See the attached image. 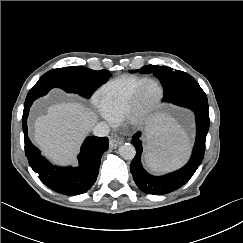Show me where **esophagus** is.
I'll list each match as a JSON object with an SVG mask.
<instances>
[{
    "instance_id": "34e87169",
    "label": "esophagus",
    "mask_w": 243,
    "mask_h": 243,
    "mask_svg": "<svg viewBox=\"0 0 243 243\" xmlns=\"http://www.w3.org/2000/svg\"><path fill=\"white\" fill-rule=\"evenodd\" d=\"M122 143H123V139H120V138H111L110 141H109V146L112 149H115V148H117Z\"/></svg>"
}]
</instances>
